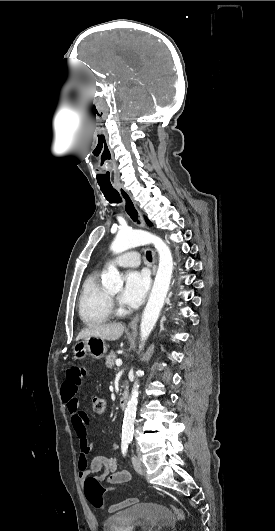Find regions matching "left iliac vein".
I'll list each match as a JSON object with an SVG mask.
<instances>
[{
    "mask_svg": "<svg viewBox=\"0 0 275 531\" xmlns=\"http://www.w3.org/2000/svg\"><path fill=\"white\" fill-rule=\"evenodd\" d=\"M131 460H132L133 467L137 471V473L143 474V469H142L139 459L136 457H132Z\"/></svg>",
    "mask_w": 275,
    "mask_h": 531,
    "instance_id": "obj_1",
    "label": "left iliac vein"
}]
</instances>
